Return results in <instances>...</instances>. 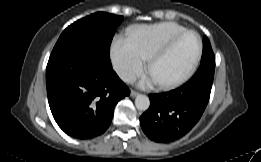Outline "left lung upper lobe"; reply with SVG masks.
Returning <instances> with one entry per match:
<instances>
[{"label":"left lung upper lobe","instance_id":"1","mask_svg":"<svg viewBox=\"0 0 261 162\" xmlns=\"http://www.w3.org/2000/svg\"><path fill=\"white\" fill-rule=\"evenodd\" d=\"M215 69V56L211 48L210 41L207 37L203 38V54L201 58V64L198 70L202 69Z\"/></svg>","mask_w":261,"mask_h":162}]
</instances>
